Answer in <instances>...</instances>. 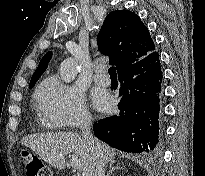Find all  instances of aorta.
<instances>
[{
	"instance_id": "762f6f07",
	"label": "aorta",
	"mask_w": 205,
	"mask_h": 176,
	"mask_svg": "<svg viewBox=\"0 0 205 176\" xmlns=\"http://www.w3.org/2000/svg\"><path fill=\"white\" fill-rule=\"evenodd\" d=\"M59 73L62 81L66 83L73 81L78 73L75 60L72 58L64 60L60 65Z\"/></svg>"
}]
</instances>
